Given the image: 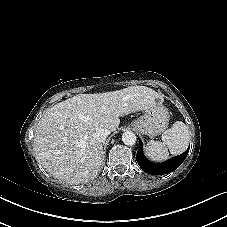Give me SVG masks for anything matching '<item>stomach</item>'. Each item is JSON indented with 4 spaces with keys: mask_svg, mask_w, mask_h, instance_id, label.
Segmentation results:
<instances>
[{
    "mask_svg": "<svg viewBox=\"0 0 227 227\" xmlns=\"http://www.w3.org/2000/svg\"><path fill=\"white\" fill-rule=\"evenodd\" d=\"M170 115L166 107L156 104L149 108L140 118L134 120L131 126L139 133L150 138L160 135L169 124Z\"/></svg>",
    "mask_w": 227,
    "mask_h": 227,
    "instance_id": "0dacf381",
    "label": "stomach"
}]
</instances>
